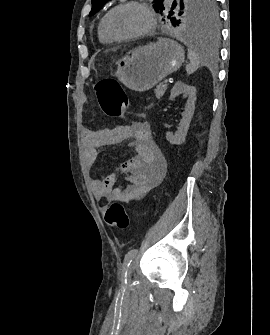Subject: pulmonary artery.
<instances>
[{"mask_svg":"<svg viewBox=\"0 0 270 335\" xmlns=\"http://www.w3.org/2000/svg\"><path fill=\"white\" fill-rule=\"evenodd\" d=\"M165 3H166L167 5H170V4L172 3V0H165Z\"/></svg>","mask_w":270,"mask_h":335,"instance_id":"1","label":"pulmonary artery"}]
</instances>
